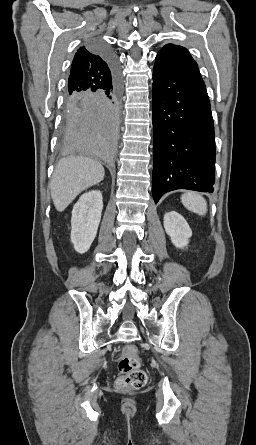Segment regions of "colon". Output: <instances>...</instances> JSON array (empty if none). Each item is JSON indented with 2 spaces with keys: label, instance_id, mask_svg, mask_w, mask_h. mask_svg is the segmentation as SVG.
<instances>
[{
  "label": "colon",
  "instance_id": "5ec220e1",
  "mask_svg": "<svg viewBox=\"0 0 256 445\" xmlns=\"http://www.w3.org/2000/svg\"><path fill=\"white\" fill-rule=\"evenodd\" d=\"M119 376L116 386L120 390H134L144 387L147 383V373L141 369L137 349L133 345L123 348L118 362Z\"/></svg>",
  "mask_w": 256,
  "mask_h": 445
}]
</instances>
